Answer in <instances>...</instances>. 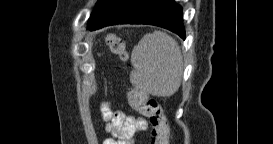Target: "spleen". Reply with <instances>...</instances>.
I'll use <instances>...</instances> for the list:
<instances>
[{"instance_id": "obj_1", "label": "spleen", "mask_w": 273, "mask_h": 144, "mask_svg": "<svg viewBox=\"0 0 273 144\" xmlns=\"http://www.w3.org/2000/svg\"><path fill=\"white\" fill-rule=\"evenodd\" d=\"M133 86L158 97H169L181 84L183 59L175 39L161 31L146 34L131 53Z\"/></svg>"}]
</instances>
